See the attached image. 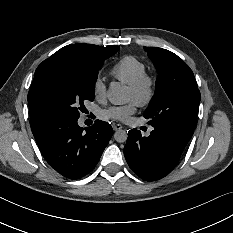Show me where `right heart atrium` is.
Here are the masks:
<instances>
[{
	"mask_svg": "<svg viewBox=\"0 0 233 233\" xmlns=\"http://www.w3.org/2000/svg\"><path fill=\"white\" fill-rule=\"evenodd\" d=\"M93 92L96 98H103L106 94V85L101 78H96L93 83Z\"/></svg>",
	"mask_w": 233,
	"mask_h": 233,
	"instance_id": "1",
	"label": "right heart atrium"
}]
</instances>
